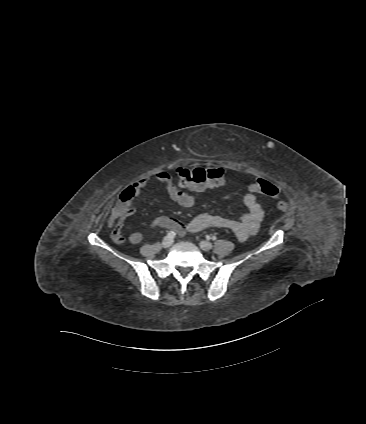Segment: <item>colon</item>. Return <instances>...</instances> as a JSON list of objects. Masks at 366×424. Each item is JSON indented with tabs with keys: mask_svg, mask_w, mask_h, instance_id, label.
I'll return each instance as SVG.
<instances>
[{
	"mask_svg": "<svg viewBox=\"0 0 366 424\" xmlns=\"http://www.w3.org/2000/svg\"><path fill=\"white\" fill-rule=\"evenodd\" d=\"M221 174L222 172L215 171L213 168L190 169L181 167L177 170V175L181 184L193 189L205 188L219 182ZM251 189L277 200V207L281 212H286L288 210V204L279 199V190L274 184L264 179H257L256 182L251 185ZM134 195V191L130 188L122 193L120 202L113 210L120 218H126L133 213L134 209L131 200Z\"/></svg>",
	"mask_w": 366,
	"mask_h": 424,
	"instance_id": "obj_1",
	"label": "colon"
}]
</instances>
